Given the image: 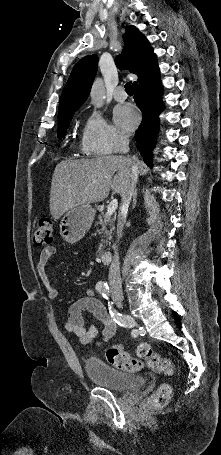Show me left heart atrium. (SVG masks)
<instances>
[{
    "mask_svg": "<svg viewBox=\"0 0 221 455\" xmlns=\"http://www.w3.org/2000/svg\"><path fill=\"white\" fill-rule=\"evenodd\" d=\"M113 118L116 126L124 132L134 130L139 122L137 112L128 104L117 106L113 111Z\"/></svg>",
    "mask_w": 221,
    "mask_h": 455,
    "instance_id": "39dd6f15",
    "label": "left heart atrium"
}]
</instances>
